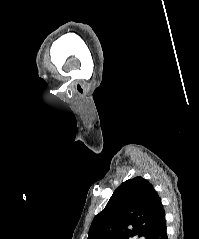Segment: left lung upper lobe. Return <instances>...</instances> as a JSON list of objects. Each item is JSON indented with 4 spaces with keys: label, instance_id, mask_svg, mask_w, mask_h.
<instances>
[{
    "label": "left lung upper lobe",
    "instance_id": "obj_1",
    "mask_svg": "<svg viewBox=\"0 0 199 239\" xmlns=\"http://www.w3.org/2000/svg\"><path fill=\"white\" fill-rule=\"evenodd\" d=\"M162 211L161 200L146 179L138 176L126 180L94 218L87 239L147 238ZM130 225L132 230L128 228Z\"/></svg>",
    "mask_w": 199,
    "mask_h": 239
}]
</instances>
